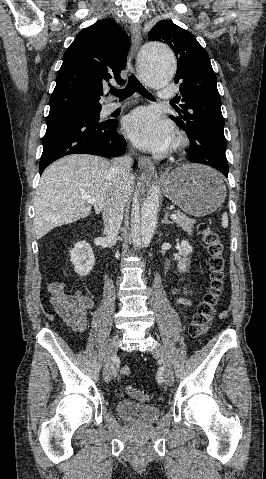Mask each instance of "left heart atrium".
Instances as JSON below:
<instances>
[{
  "label": "left heart atrium",
  "instance_id": "left-heart-atrium-1",
  "mask_svg": "<svg viewBox=\"0 0 266 479\" xmlns=\"http://www.w3.org/2000/svg\"><path fill=\"white\" fill-rule=\"evenodd\" d=\"M125 134L138 146L162 152L170 144L173 130L149 108H139L126 116Z\"/></svg>",
  "mask_w": 266,
  "mask_h": 479
}]
</instances>
